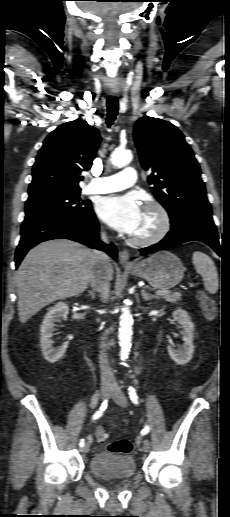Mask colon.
<instances>
[{
    "instance_id": "colon-1",
    "label": "colon",
    "mask_w": 230,
    "mask_h": 517,
    "mask_svg": "<svg viewBox=\"0 0 230 517\" xmlns=\"http://www.w3.org/2000/svg\"><path fill=\"white\" fill-rule=\"evenodd\" d=\"M196 296L204 317L208 321H214L217 318V306L214 300L202 290H199ZM96 438L100 443H106L107 435L101 429L97 432ZM106 447L112 453L128 454L132 449V444L128 439H120L107 443Z\"/></svg>"
}]
</instances>
